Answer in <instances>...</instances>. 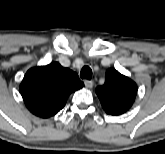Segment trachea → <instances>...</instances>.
Returning <instances> with one entry per match:
<instances>
[{
	"label": "trachea",
	"mask_w": 165,
	"mask_h": 154,
	"mask_svg": "<svg viewBox=\"0 0 165 154\" xmlns=\"http://www.w3.org/2000/svg\"><path fill=\"white\" fill-rule=\"evenodd\" d=\"M80 77L82 79L90 80L92 78V70L89 66H84L81 70Z\"/></svg>",
	"instance_id": "obj_1"
}]
</instances>
